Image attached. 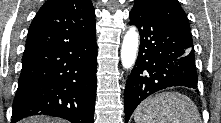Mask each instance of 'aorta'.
<instances>
[{
    "mask_svg": "<svg viewBox=\"0 0 221 123\" xmlns=\"http://www.w3.org/2000/svg\"><path fill=\"white\" fill-rule=\"evenodd\" d=\"M139 47V34L135 27H131L125 34L121 46V62L125 69L134 66Z\"/></svg>",
    "mask_w": 221,
    "mask_h": 123,
    "instance_id": "1",
    "label": "aorta"
}]
</instances>
